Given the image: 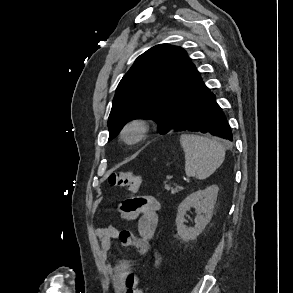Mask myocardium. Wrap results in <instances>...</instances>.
Listing matches in <instances>:
<instances>
[{
  "instance_id": "obj_1",
  "label": "myocardium",
  "mask_w": 293,
  "mask_h": 293,
  "mask_svg": "<svg viewBox=\"0 0 293 293\" xmlns=\"http://www.w3.org/2000/svg\"><path fill=\"white\" fill-rule=\"evenodd\" d=\"M129 132H135V137L133 139L127 137ZM148 133L149 125L145 120L133 119L124 125L121 135L128 144H137L145 140Z\"/></svg>"
}]
</instances>
